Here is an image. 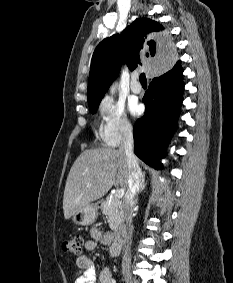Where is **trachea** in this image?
<instances>
[{"mask_svg":"<svg viewBox=\"0 0 233 283\" xmlns=\"http://www.w3.org/2000/svg\"><path fill=\"white\" fill-rule=\"evenodd\" d=\"M139 80H140L141 84H146L147 83V79H146V76H145L144 73L140 74Z\"/></svg>","mask_w":233,"mask_h":283,"instance_id":"obj_1","label":"trachea"}]
</instances>
